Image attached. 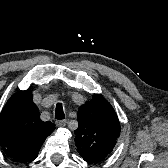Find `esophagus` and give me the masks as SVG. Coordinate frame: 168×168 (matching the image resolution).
Returning a JSON list of instances; mask_svg holds the SVG:
<instances>
[{
	"label": "esophagus",
	"instance_id": "obj_1",
	"mask_svg": "<svg viewBox=\"0 0 168 168\" xmlns=\"http://www.w3.org/2000/svg\"><path fill=\"white\" fill-rule=\"evenodd\" d=\"M67 124V120H57L56 121V125L58 126V127H63V126H65Z\"/></svg>",
	"mask_w": 168,
	"mask_h": 168
}]
</instances>
